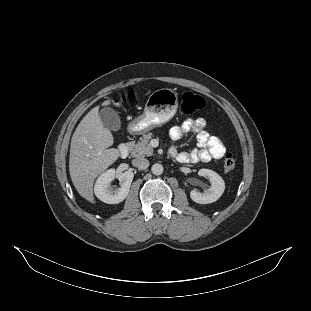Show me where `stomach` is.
I'll use <instances>...</instances> for the list:
<instances>
[{
	"label": "stomach",
	"mask_w": 311,
	"mask_h": 311,
	"mask_svg": "<svg viewBox=\"0 0 311 311\" xmlns=\"http://www.w3.org/2000/svg\"><path fill=\"white\" fill-rule=\"evenodd\" d=\"M178 110V95L172 89L154 91L147 99L144 112L130 121L127 131L131 135H142L170 121Z\"/></svg>",
	"instance_id": "0dacf381"
}]
</instances>
